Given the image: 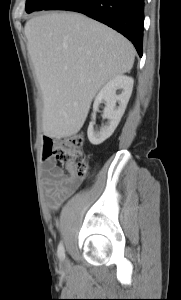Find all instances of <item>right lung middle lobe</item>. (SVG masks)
Masks as SVG:
<instances>
[{
	"mask_svg": "<svg viewBox=\"0 0 181 300\" xmlns=\"http://www.w3.org/2000/svg\"><path fill=\"white\" fill-rule=\"evenodd\" d=\"M55 0H26L25 10L27 13L40 11L53 3Z\"/></svg>",
	"mask_w": 181,
	"mask_h": 300,
	"instance_id": "right-lung-middle-lobe-1",
	"label": "right lung middle lobe"
}]
</instances>
